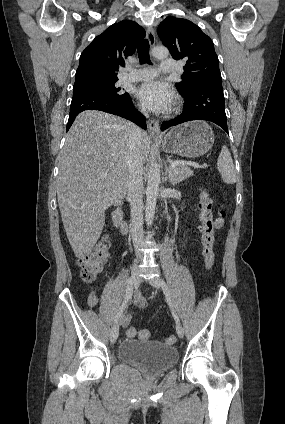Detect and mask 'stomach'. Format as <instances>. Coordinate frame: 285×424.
Returning <instances> with one entry per match:
<instances>
[{
  "instance_id": "1",
  "label": "stomach",
  "mask_w": 285,
  "mask_h": 424,
  "mask_svg": "<svg viewBox=\"0 0 285 424\" xmlns=\"http://www.w3.org/2000/svg\"><path fill=\"white\" fill-rule=\"evenodd\" d=\"M214 140V133L206 122L192 121L172 128L161 142L168 153L195 158L207 153Z\"/></svg>"
}]
</instances>
